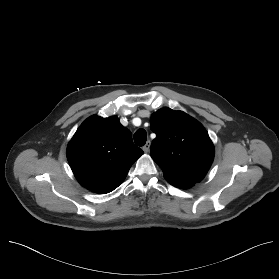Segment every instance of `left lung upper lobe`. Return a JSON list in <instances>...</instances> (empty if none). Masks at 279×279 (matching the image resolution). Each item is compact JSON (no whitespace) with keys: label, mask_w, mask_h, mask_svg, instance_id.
Returning a JSON list of instances; mask_svg holds the SVG:
<instances>
[{"label":"left lung upper lobe","mask_w":279,"mask_h":279,"mask_svg":"<svg viewBox=\"0 0 279 279\" xmlns=\"http://www.w3.org/2000/svg\"><path fill=\"white\" fill-rule=\"evenodd\" d=\"M150 128L156 134L150 155L164 177L200 182L214 158V146L205 128L186 113L170 108L154 112Z\"/></svg>","instance_id":"left-lung-upper-lobe-1"}]
</instances>
